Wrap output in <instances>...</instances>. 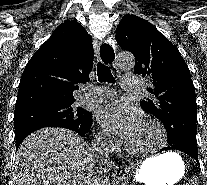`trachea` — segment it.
I'll return each instance as SVG.
<instances>
[{
	"instance_id": "1",
	"label": "trachea",
	"mask_w": 207,
	"mask_h": 185,
	"mask_svg": "<svg viewBox=\"0 0 207 185\" xmlns=\"http://www.w3.org/2000/svg\"><path fill=\"white\" fill-rule=\"evenodd\" d=\"M113 49L108 44L101 45L100 48V55L101 59L104 63H109V56L113 55ZM97 74H98V80L100 82H109V83H115V78L111 74L110 68L102 63H98L97 65Z\"/></svg>"
}]
</instances>
